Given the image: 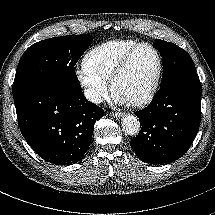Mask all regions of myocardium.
<instances>
[{
    "instance_id": "myocardium-1",
    "label": "myocardium",
    "mask_w": 215,
    "mask_h": 215,
    "mask_svg": "<svg viewBox=\"0 0 215 215\" xmlns=\"http://www.w3.org/2000/svg\"><path fill=\"white\" fill-rule=\"evenodd\" d=\"M143 46H148L155 52L156 58H157V70H156L155 75H154L151 83L149 84L146 92L139 99L126 103V105L131 108H140V107L145 106L153 99V97L156 93V90L158 88V85L160 83V79L162 76V70H163L162 56H161L159 50L157 49V47L150 42H139V43L135 44L134 46H132L118 62L113 74L111 75L110 81H109L110 92L113 95L114 86H115L117 80L121 77V75L126 70L133 54L139 48H141Z\"/></svg>"
}]
</instances>
